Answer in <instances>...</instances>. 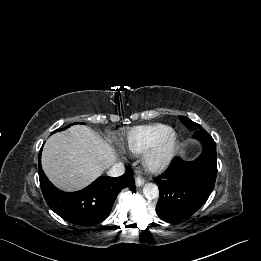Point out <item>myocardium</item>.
Masks as SVG:
<instances>
[{"label":"myocardium","instance_id":"myocardium-1","mask_svg":"<svg viewBox=\"0 0 261 261\" xmlns=\"http://www.w3.org/2000/svg\"><path fill=\"white\" fill-rule=\"evenodd\" d=\"M178 146L176 133L173 131L166 133L144 152L143 166L152 173L163 172L173 161Z\"/></svg>","mask_w":261,"mask_h":261}]
</instances>
